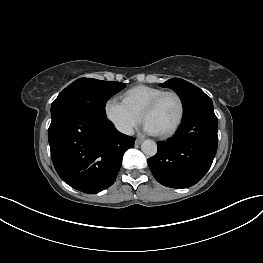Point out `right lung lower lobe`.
<instances>
[{"label": "right lung lower lobe", "instance_id": "1", "mask_svg": "<svg viewBox=\"0 0 263 263\" xmlns=\"http://www.w3.org/2000/svg\"><path fill=\"white\" fill-rule=\"evenodd\" d=\"M48 139L60 178L88 194L114 183L125 151L135 142V138L119 133L106 116L75 111L51 121Z\"/></svg>", "mask_w": 263, "mask_h": 263}]
</instances>
